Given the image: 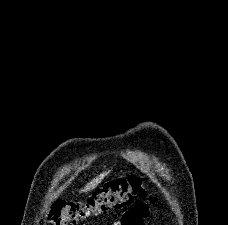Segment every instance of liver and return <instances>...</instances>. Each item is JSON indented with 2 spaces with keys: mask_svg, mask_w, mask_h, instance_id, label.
I'll list each match as a JSON object with an SVG mask.
<instances>
[{
  "mask_svg": "<svg viewBox=\"0 0 228 225\" xmlns=\"http://www.w3.org/2000/svg\"><path fill=\"white\" fill-rule=\"evenodd\" d=\"M108 175V171H105V173H101V175H98V177H95V179H92L90 183H87L86 187L82 189V191H79V193H87V191H92V189H95L101 181H103L104 177Z\"/></svg>",
  "mask_w": 228,
  "mask_h": 225,
  "instance_id": "liver-1",
  "label": "liver"
}]
</instances>
